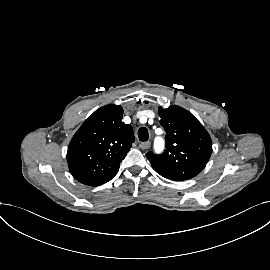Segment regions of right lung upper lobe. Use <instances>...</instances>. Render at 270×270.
Instances as JSON below:
<instances>
[{"label": "right lung upper lobe", "instance_id": "cb5924a9", "mask_svg": "<svg viewBox=\"0 0 270 270\" xmlns=\"http://www.w3.org/2000/svg\"><path fill=\"white\" fill-rule=\"evenodd\" d=\"M123 109L113 104L92 113L73 136L67 151L72 176L88 186H99L118 172L134 142L131 125L122 122Z\"/></svg>", "mask_w": 270, "mask_h": 270}]
</instances>
